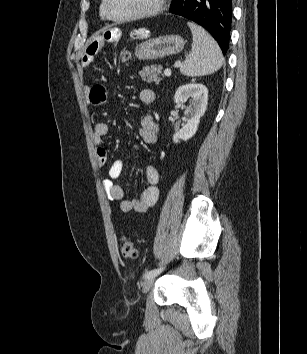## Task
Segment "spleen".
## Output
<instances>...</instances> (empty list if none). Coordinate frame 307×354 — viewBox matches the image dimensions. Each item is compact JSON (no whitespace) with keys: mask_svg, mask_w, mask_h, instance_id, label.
<instances>
[{"mask_svg":"<svg viewBox=\"0 0 307 354\" xmlns=\"http://www.w3.org/2000/svg\"><path fill=\"white\" fill-rule=\"evenodd\" d=\"M193 35L190 54L180 67L186 76H204L216 72L223 63L221 50L214 38L202 27L188 23Z\"/></svg>","mask_w":307,"mask_h":354,"instance_id":"1","label":"spleen"}]
</instances>
